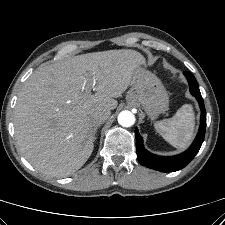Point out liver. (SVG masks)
Returning a JSON list of instances; mask_svg holds the SVG:
<instances>
[{"instance_id": "obj_1", "label": "liver", "mask_w": 225, "mask_h": 225, "mask_svg": "<svg viewBox=\"0 0 225 225\" xmlns=\"http://www.w3.org/2000/svg\"><path fill=\"white\" fill-rule=\"evenodd\" d=\"M145 63L141 53L121 49L78 55L35 70L24 82L14 111L23 156L54 177L80 169L94 148L92 110L115 109L114 98L127 90Z\"/></svg>"}]
</instances>
